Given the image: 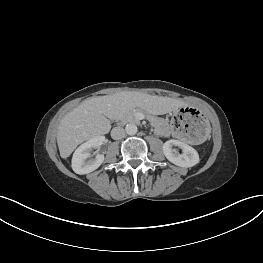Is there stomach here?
I'll list each match as a JSON object with an SVG mask.
<instances>
[{"mask_svg": "<svg viewBox=\"0 0 263 263\" xmlns=\"http://www.w3.org/2000/svg\"><path fill=\"white\" fill-rule=\"evenodd\" d=\"M170 127L177 138L191 146L205 143L212 132L209 117L193 106L177 109L171 117Z\"/></svg>", "mask_w": 263, "mask_h": 263, "instance_id": "1", "label": "stomach"}]
</instances>
